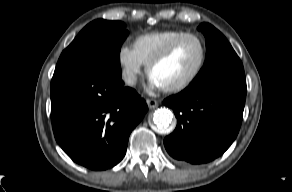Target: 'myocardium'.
Wrapping results in <instances>:
<instances>
[{"instance_id": "obj_1", "label": "myocardium", "mask_w": 292, "mask_h": 192, "mask_svg": "<svg viewBox=\"0 0 292 192\" xmlns=\"http://www.w3.org/2000/svg\"><path fill=\"white\" fill-rule=\"evenodd\" d=\"M187 38H192L195 39L201 48V57H200V61L196 67V69L193 71V73L187 77L185 80L168 86V87H162L163 91L168 92V93H174V92H179L182 91L186 88H188L190 85H192L196 79L200 76V74L202 73L206 62H207V46H206V42L203 39L202 36H200L197 33H193V32H185L183 34H181L180 36L176 37L175 39H173L160 53H158L157 55H155L147 64H146V73L148 76H150V72L152 70V68L156 65H158L159 63L163 62L164 60H166L168 57H170V55L174 52V50L177 48V46L185 39Z\"/></svg>"}]
</instances>
